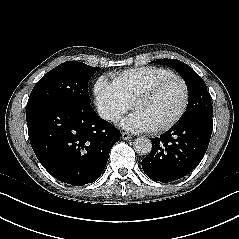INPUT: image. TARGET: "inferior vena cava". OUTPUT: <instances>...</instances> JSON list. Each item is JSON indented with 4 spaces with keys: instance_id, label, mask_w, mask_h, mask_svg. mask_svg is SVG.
<instances>
[{
    "instance_id": "inferior-vena-cava-1",
    "label": "inferior vena cava",
    "mask_w": 239,
    "mask_h": 239,
    "mask_svg": "<svg viewBox=\"0 0 239 239\" xmlns=\"http://www.w3.org/2000/svg\"><path fill=\"white\" fill-rule=\"evenodd\" d=\"M98 114L104 120H114L115 118L114 114L109 109L106 108L98 110Z\"/></svg>"
}]
</instances>
